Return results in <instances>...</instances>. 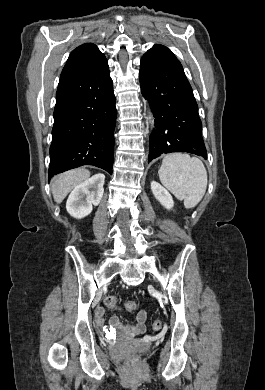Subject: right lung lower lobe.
<instances>
[{"label": "right lung lower lobe", "mask_w": 265, "mask_h": 390, "mask_svg": "<svg viewBox=\"0 0 265 390\" xmlns=\"http://www.w3.org/2000/svg\"><path fill=\"white\" fill-rule=\"evenodd\" d=\"M115 123V95L107 61L74 79L60 82L49 179L83 165H94L112 174Z\"/></svg>", "instance_id": "right-lung-lower-lobe-1"}]
</instances>
